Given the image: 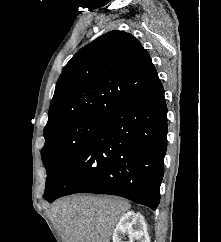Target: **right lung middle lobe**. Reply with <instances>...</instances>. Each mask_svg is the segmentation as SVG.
Segmentation results:
<instances>
[{
    "mask_svg": "<svg viewBox=\"0 0 221 242\" xmlns=\"http://www.w3.org/2000/svg\"><path fill=\"white\" fill-rule=\"evenodd\" d=\"M102 122L101 118H83L44 132L45 145L41 150V157L47 170L45 199L68 163Z\"/></svg>",
    "mask_w": 221,
    "mask_h": 242,
    "instance_id": "dd1d6c3e",
    "label": "right lung middle lobe"
}]
</instances>
